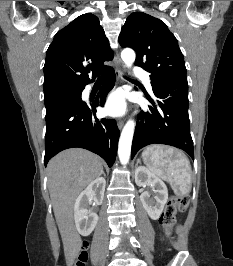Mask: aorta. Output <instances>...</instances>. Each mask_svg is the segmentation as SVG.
Listing matches in <instances>:
<instances>
[{"mask_svg":"<svg viewBox=\"0 0 233 266\" xmlns=\"http://www.w3.org/2000/svg\"><path fill=\"white\" fill-rule=\"evenodd\" d=\"M135 57H136L135 52L130 48H125L121 52V58L128 68H130L133 65ZM134 128H135L134 121L129 120L125 124L119 139L118 155L122 165H126L130 158Z\"/></svg>","mask_w":233,"mask_h":266,"instance_id":"obj_1","label":"aorta"}]
</instances>
